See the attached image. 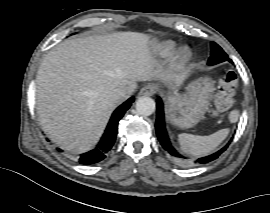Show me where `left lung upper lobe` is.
Segmentation results:
<instances>
[{
	"mask_svg": "<svg viewBox=\"0 0 270 213\" xmlns=\"http://www.w3.org/2000/svg\"><path fill=\"white\" fill-rule=\"evenodd\" d=\"M211 56L208 60V65H215L224 61L232 62L223 49L215 42L211 43Z\"/></svg>",
	"mask_w": 270,
	"mask_h": 213,
	"instance_id": "5c2ea615",
	"label": "left lung upper lobe"
}]
</instances>
